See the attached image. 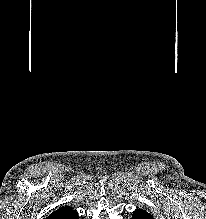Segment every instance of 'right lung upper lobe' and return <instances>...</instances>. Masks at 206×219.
<instances>
[{"instance_id": "1", "label": "right lung upper lobe", "mask_w": 206, "mask_h": 219, "mask_svg": "<svg viewBox=\"0 0 206 219\" xmlns=\"http://www.w3.org/2000/svg\"><path fill=\"white\" fill-rule=\"evenodd\" d=\"M46 219H78V214L70 206H63L52 212Z\"/></svg>"}]
</instances>
